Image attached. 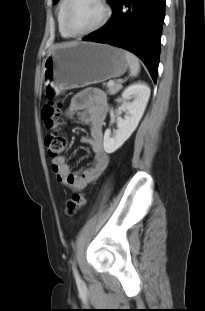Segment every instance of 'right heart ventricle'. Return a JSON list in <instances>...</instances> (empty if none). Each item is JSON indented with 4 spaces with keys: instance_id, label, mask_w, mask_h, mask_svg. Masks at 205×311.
I'll return each mask as SVG.
<instances>
[{
    "instance_id": "e07e8e85",
    "label": "right heart ventricle",
    "mask_w": 205,
    "mask_h": 311,
    "mask_svg": "<svg viewBox=\"0 0 205 311\" xmlns=\"http://www.w3.org/2000/svg\"><path fill=\"white\" fill-rule=\"evenodd\" d=\"M67 0H61L57 9V25L59 32L63 38H70L71 35L67 32L64 26V11L66 6Z\"/></svg>"
}]
</instances>
